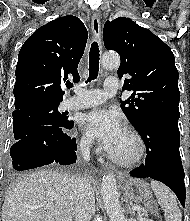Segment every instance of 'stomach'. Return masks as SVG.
<instances>
[{
  "instance_id": "stomach-1",
  "label": "stomach",
  "mask_w": 190,
  "mask_h": 221,
  "mask_svg": "<svg viewBox=\"0 0 190 221\" xmlns=\"http://www.w3.org/2000/svg\"><path fill=\"white\" fill-rule=\"evenodd\" d=\"M120 184L126 198L143 204L147 210L156 209L151 188L145 180L126 177L121 179Z\"/></svg>"
}]
</instances>
